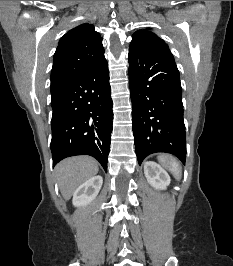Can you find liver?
<instances>
[{"mask_svg":"<svg viewBox=\"0 0 233 266\" xmlns=\"http://www.w3.org/2000/svg\"><path fill=\"white\" fill-rule=\"evenodd\" d=\"M98 163L89 156L64 159L55 167L59 188L65 200H69L75 190L98 173Z\"/></svg>","mask_w":233,"mask_h":266,"instance_id":"obj_1","label":"liver"}]
</instances>
